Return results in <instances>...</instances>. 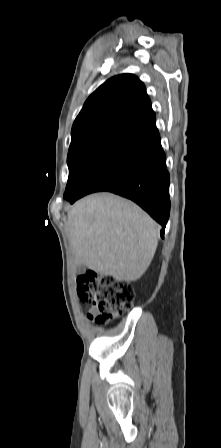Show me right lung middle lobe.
I'll return each instance as SVG.
<instances>
[{"instance_id":"right-lung-middle-lobe-1","label":"right lung middle lobe","mask_w":221,"mask_h":448,"mask_svg":"<svg viewBox=\"0 0 221 448\" xmlns=\"http://www.w3.org/2000/svg\"><path fill=\"white\" fill-rule=\"evenodd\" d=\"M115 144L93 143L69 151V178L64 193L66 200L70 201L77 196L85 181Z\"/></svg>"}]
</instances>
